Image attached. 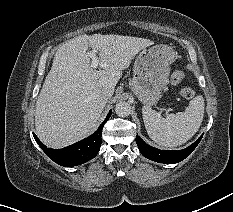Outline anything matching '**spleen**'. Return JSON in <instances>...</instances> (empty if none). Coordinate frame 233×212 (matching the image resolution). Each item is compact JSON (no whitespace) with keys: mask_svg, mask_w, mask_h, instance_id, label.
Here are the masks:
<instances>
[{"mask_svg":"<svg viewBox=\"0 0 233 212\" xmlns=\"http://www.w3.org/2000/svg\"><path fill=\"white\" fill-rule=\"evenodd\" d=\"M204 98H193L185 112L163 117L149 106H143L142 116L149 137L158 145L173 148L186 143L199 130L204 116Z\"/></svg>","mask_w":233,"mask_h":212,"instance_id":"1","label":"spleen"}]
</instances>
